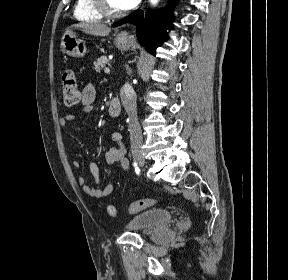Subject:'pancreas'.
Returning <instances> with one entry per match:
<instances>
[{
    "mask_svg": "<svg viewBox=\"0 0 288 280\" xmlns=\"http://www.w3.org/2000/svg\"><path fill=\"white\" fill-rule=\"evenodd\" d=\"M107 64H109V60L106 56H101L97 59L96 62H94L95 69L97 71H101Z\"/></svg>",
    "mask_w": 288,
    "mask_h": 280,
    "instance_id": "1",
    "label": "pancreas"
}]
</instances>
